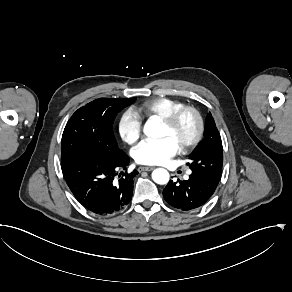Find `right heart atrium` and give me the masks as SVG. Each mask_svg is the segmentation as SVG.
<instances>
[{"instance_id": "d8ad5b80", "label": "right heart atrium", "mask_w": 292, "mask_h": 292, "mask_svg": "<svg viewBox=\"0 0 292 292\" xmlns=\"http://www.w3.org/2000/svg\"><path fill=\"white\" fill-rule=\"evenodd\" d=\"M143 132V120L140 114L132 107L126 108L118 120V134L127 144H135Z\"/></svg>"}]
</instances>
